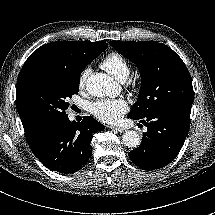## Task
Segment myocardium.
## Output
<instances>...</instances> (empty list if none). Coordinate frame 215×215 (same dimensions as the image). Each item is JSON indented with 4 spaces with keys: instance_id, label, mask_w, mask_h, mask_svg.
I'll use <instances>...</instances> for the list:
<instances>
[{
    "instance_id": "obj_1",
    "label": "myocardium",
    "mask_w": 215,
    "mask_h": 215,
    "mask_svg": "<svg viewBox=\"0 0 215 215\" xmlns=\"http://www.w3.org/2000/svg\"><path fill=\"white\" fill-rule=\"evenodd\" d=\"M129 83H130V85H132V86H136V84H137V83H136L135 81H133V80H130Z\"/></svg>"
}]
</instances>
